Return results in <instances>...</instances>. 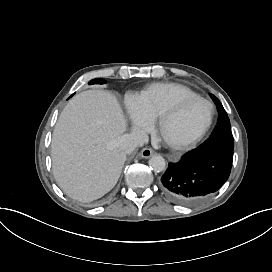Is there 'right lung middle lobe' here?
<instances>
[{"label": "right lung middle lobe", "mask_w": 272, "mask_h": 272, "mask_svg": "<svg viewBox=\"0 0 272 272\" xmlns=\"http://www.w3.org/2000/svg\"><path fill=\"white\" fill-rule=\"evenodd\" d=\"M106 81L103 80V79H93L89 82V85L90 84H104Z\"/></svg>", "instance_id": "obj_1"}]
</instances>
